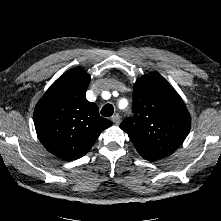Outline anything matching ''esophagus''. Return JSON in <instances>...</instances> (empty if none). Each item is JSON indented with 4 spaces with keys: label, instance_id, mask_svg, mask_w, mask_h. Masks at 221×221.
<instances>
[{
    "label": "esophagus",
    "instance_id": "obj_1",
    "mask_svg": "<svg viewBox=\"0 0 221 221\" xmlns=\"http://www.w3.org/2000/svg\"><path fill=\"white\" fill-rule=\"evenodd\" d=\"M111 120L116 125H118L120 123V121H121L120 116L118 114L113 115Z\"/></svg>",
    "mask_w": 221,
    "mask_h": 221
}]
</instances>
